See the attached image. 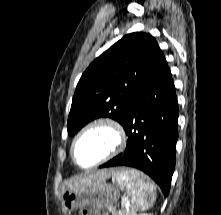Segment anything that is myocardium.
Masks as SVG:
<instances>
[{
	"mask_svg": "<svg viewBox=\"0 0 221 215\" xmlns=\"http://www.w3.org/2000/svg\"><path fill=\"white\" fill-rule=\"evenodd\" d=\"M95 129H102V130L107 131L112 136V140H113L112 146L100 159H98L94 163L87 165V166L80 165L77 162L76 156H75L76 144L85 134ZM126 139L127 137H126L125 129L119 121L111 117H100V118L94 119L90 121L89 123H87L86 125H84L73 137L71 146H70V154H71L72 161L76 166H78L81 169H91L96 166H99L107 162L108 160L112 159L119 153H121L126 145Z\"/></svg>",
	"mask_w": 221,
	"mask_h": 215,
	"instance_id": "obj_1",
	"label": "myocardium"
}]
</instances>
